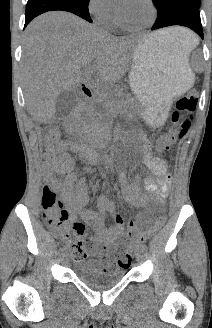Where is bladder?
<instances>
[{
  "label": "bladder",
  "instance_id": "obj_1",
  "mask_svg": "<svg viewBox=\"0 0 212 328\" xmlns=\"http://www.w3.org/2000/svg\"><path fill=\"white\" fill-rule=\"evenodd\" d=\"M76 277L92 289L102 290L119 283L125 276L123 270L102 272L97 269L92 260H78L73 265Z\"/></svg>",
  "mask_w": 212,
  "mask_h": 328
}]
</instances>
